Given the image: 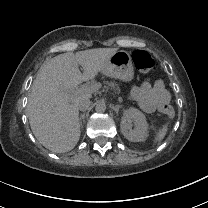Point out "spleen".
<instances>
[{
	"label": "spleen",
	"instance_id": "obj_1",
	"mask_svg": "<svg viewBox=\"0 0 208 208\" xmlns=\"http://www.w3.org/2000/svg\"><path fill=\"white\" fill-rule=\"evenodd\" d=\"M167 132V125H164L159 132L156 134L155 141L160 142L166 135Z\"/></svg>",
	"mask_w": 208,
	"mask_h": 208
}]
</instances>
